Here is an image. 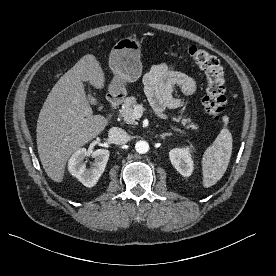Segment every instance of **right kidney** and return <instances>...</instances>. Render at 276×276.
I'll return each instance as SVG.
<instances>
[{
  "label": "right kidney",
  "mask_w": 276,
  "mask_h": 276,
  "mask_svg": "<svg viewBox=\"0 0 276 276\" xmlns=\"http://www.w3.org/2000/svg\"><path fill=\"white\" fill-rule=\"evenodd\" d=\"M88 155L85 148L77 150L68 161V170L84 186L91 188L96 185L104 172L110 153L106 149L93 151L91 155L95 161L90 168H86L84 159Z\"/></svg>",
  "instance_id": "1"
}]
</instances>
